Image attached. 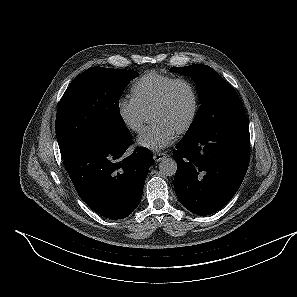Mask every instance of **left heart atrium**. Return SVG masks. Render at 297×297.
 <instances>
[{"label":"left heart atrium","instance_id":"obj_1","mask_svg":"<svg viewBox=\"0 0 297 297\" xmlns=\"http://www.w3.org/2000/svg\"><path fill=\"white\" fill-rule=\"evenodd\" d=\"M176 133L163 123H152L139 137L138 144L144 148L157 151L169 146Z\"/></svg>","mask_w":297,"mask_h":297}]
</instances>
